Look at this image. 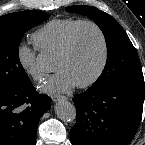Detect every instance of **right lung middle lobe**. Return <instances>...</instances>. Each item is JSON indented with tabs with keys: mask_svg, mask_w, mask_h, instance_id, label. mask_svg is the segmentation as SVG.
<instances>
[{
	"mask_svg": "<svg viewBox=\"0 0 145 145\" xmlns=\"http://www.w3.org/2000/svg\"><path fill=\"white\" fill-rule=\"evenodd\" d=\"M48 18L32 10L0 17V90L17 89L30 80L19 60V44L25 32Z\"/></svg>",
	"mask_w": 145,
	"mask_h": 145,
	"instance_id": "obj_1",
	"label": "right lung middle lobe"
}]
</instances>
